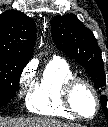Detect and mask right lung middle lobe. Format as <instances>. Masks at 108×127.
I'll return each mask as SVG.
<instances>
[{
    "instance_id": "1",
    "label": "right lung middle lobe",
    "mask_w": 108,
    "mask_h": 127,
    "mask_svg": "<svg viewBox=\"0 0 108 127\" xmlns=\"http://www.w3.org/2000/svg\"><path fill=\"white\" fill-rule=\"evenodd\" d=\"M27 62L0 55V101H10L19 87V79Z\"/></svg>"
}]
</instances>
